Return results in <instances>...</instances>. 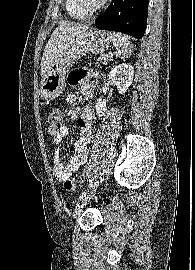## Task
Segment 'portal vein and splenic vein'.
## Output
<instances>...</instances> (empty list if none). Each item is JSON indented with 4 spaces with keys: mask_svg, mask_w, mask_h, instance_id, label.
<instances>
[{
    "mask_svg": "<svg viewBox=\"0 0 195 270\" xmlns=\"http://www.w3.org/2000/svg\"><path fill=\"white\" fill-rule=\"evenodd\" d=\"M112 56H113L112 54L108 55L109 58H112Z\"/></svg>",
    "mask_w": 195,
    "mask_h": 270,
    "instance_id": "obj_1",
    "label": "portal vein and splenic vein"
}]
</instances>
